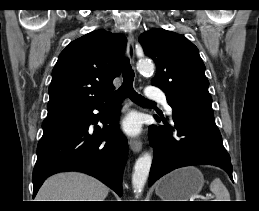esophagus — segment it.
I'll use <instances>...</instances> for the list:
<instances>
[{"label":"esophagus","mask_w":259,"mask_h":211,"mask_svg":"<svg viewBox=\"0 0 259 211\" xmlns=\"http://www.w3.org/2000/svg\"><path fill=\"white\" fill-rule=\"evenodd\" d=\"M128 57L131 64H134L135 50H134V36L132 33L128 34ZM130 148L134 152H139L142 149V142L139 139H130L129 141Z\"/></svg>","instance_id":"34e87169"}]
</instances>
